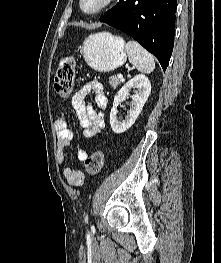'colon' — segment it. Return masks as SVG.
Returning a JSON list of instances; mask_svg holds the SVG:
<instances>
[{"mask_svg":"<svg viewBox=\"0 0 221 263\" xmlns=\"http://www.w3.org/2000/svg\"><path fill=\"white\" fill-rule=\"evenodd\" d=\"M75 78V62L72 57L61 60L54 82L55 94L60 99L68 98L73 90ZM105 156L101 150H97L85 159V168L90 176H96L104 166Z\"/></svg>","mask_w":221,"mask_h":263,"instance_id":"obj_1","label":"colon"}]
</instances>
